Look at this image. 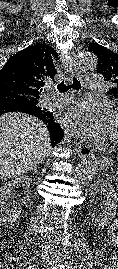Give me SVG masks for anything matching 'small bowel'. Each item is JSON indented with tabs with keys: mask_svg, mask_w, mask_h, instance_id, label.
<instances>
[{
	"mask_svg": "<svg viewBox=\"0 0 118 269\" xmlns=\"http://www.w3.org/2000/svg\"><path fill=\"white\" fill-rule=\"evenodd\" d=\"M118 219L115 221L112 229L107 231V238L110 244L118 248Z\"/></svg>",
	"mask_w": 118,
	"mask_h": 269,
	"instance_id": "obj_1",
	"label": "small bowel"
}]
</instances>
